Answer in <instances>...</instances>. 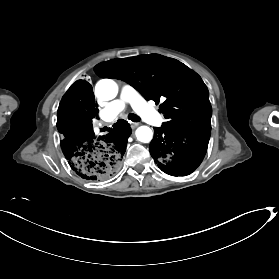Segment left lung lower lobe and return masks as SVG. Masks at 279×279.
Wrapping results in <instances>:
<instances>
[{
    "mask_svg": "<svg viewBox=\"0 0 279 279\" xmlns=\"http://www.w3.org/2000/svg\"><path fill=\"white\" fill-rule=\"evenodd\" d=\"M149 150L158 167L172 176L192 173L202 162L208 147L209 132H183L154 128Z\"/></svg>",
    "mask_w": 279,
    "mask_h": 279,
    "instance_id": "1",
    "label": "left lung lower lobe"
}]
</instances>
